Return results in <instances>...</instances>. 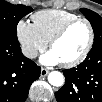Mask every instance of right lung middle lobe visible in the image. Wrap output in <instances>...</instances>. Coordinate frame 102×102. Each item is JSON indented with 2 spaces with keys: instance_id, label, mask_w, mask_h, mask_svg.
<instances>
[{
  "instance_id": "right-lung-middle-lobe-1",
  "label": "right lung middle lobe",
  "mask_w": 102,
  "mask_h": 102,
  "mask_svg": "<svg viewBox=\"0 0 102 102\" xmlns=\"http://www.w3.org/2000/svg\"><path fill=\"white\" fill-rule=\"evenodd\" d=\"M33 11L25 5H13L0 1V38L17 39L16 29L19 20Z\"/></svg>"
}]
</instances>
